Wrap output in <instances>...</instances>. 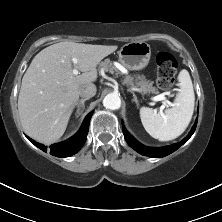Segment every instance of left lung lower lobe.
<instances>
[{
  "instance_id": "1",
  "label": "left lung lower lobe",
  "mask_w": 222,
  "mask_h": 222,
  "mask_svg": "<svg viewBox=\"0 0 222 222\" xmlns=\"http://www.w3.org/2000/svg\"><path fill=\"white\" fill-rule=\"evenodd\" d=\"M197 120H198V118H197ZM197 120H196L194 126L192 127V130L187 135V137H185L183 139V141L175 143L170 146L161 147V148H151V147H146V146L142 145L141 143H139L134 137H132L128 133V131L125 129V127H123V134H124V137H125L127 143L129 144V146L132 147L137 152H139L140 154H142L144 156L153 157V158H160V157H165V156L173 153L174 151H176L192 136V134L194 133V131L196 129Z\"/></svg>"
}]
</instances>
